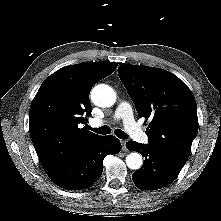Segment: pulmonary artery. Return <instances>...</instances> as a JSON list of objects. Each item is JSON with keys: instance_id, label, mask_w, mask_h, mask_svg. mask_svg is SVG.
Wrapping results in <instances>:
<instances>
[{"instance_id": "obj_1", "label": "pulmonary artery", "mask_w": 221, "mask_h": 221, "mask_svg": "<svg viewBox=\"0 0 221 221\" xmlns=\"http://www.w3.org/2000/svg\"><path fill=\"white\" fill-rule=\"evenodd\" d=\"M115 120H122L127 133L136 141L140 143H147V134L138 126L133 117L132 108L129 103L121 102L115 111ZM91 126L99 127L104 124L103 120L92 119Z\"/></svg>"}]
</instances>
